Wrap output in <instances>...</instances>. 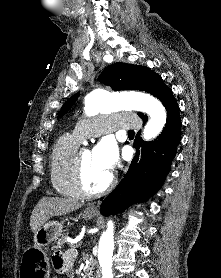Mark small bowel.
<instances>
[{
    "instance_id": "c3829d8e",
    "label": "small bowel",
    "mask_w": 221,
    "mask_h": 278,
    "mask_svg": "<svg viewBox=\"0 0 221 278\" xmlns=\"http://www.w3.org/2000/svg\"><path fill=\"white\" fill-rule=\"evenodd\" d=\"M75 259V252L72 250L68 251H59L53 254L52 256V264L53 267L58 274L53 278H61L62 276H66L67 278L73 277V262Z\"/></svg>"
}]
</instances>
